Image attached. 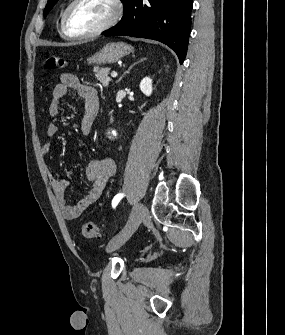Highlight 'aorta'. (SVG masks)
<instances>
[{
	"instance_id": "obj_1",
	"label": "aorta",
	"mask_w": 285,
	"mask_h": 335,
	"mask_svg": "<svg viewBox=\"0 0 285 335\" xmlns=\"http://www.w3.org/2000/svg\"><path fill=\"white\" fill-rule=\"evenodd\" d=\"M102 125L100 126V137H105L106 141H110L108 144L111 146V141H117L118 137H123V130H119L118 125H113V119H102Z\"/></svg>"
}]
</instances>
